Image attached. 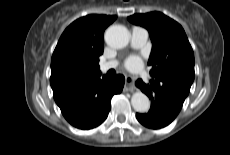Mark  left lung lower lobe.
I'll list each match as a JSON object with an SVG mask.
<instances>
[{"instance_id": "left-lung-lower-lobe-1", "label": "left lung lower lobe", "mask_w": 230, "mask_h": 155, "mask_svg": "<svg viewBox=\"0 0 230 155\" xmlns=\"http://www.w3.org/2000/svg\"><path fill=\"white\" fill-rule=\"evenodd\" d=\"M137 87L151 99V108L146 114H136L144 126L159 129L169 125L180 112L189 91L171 82L151 80V86L137 80Z\"/></svg>"}]
</instances>
